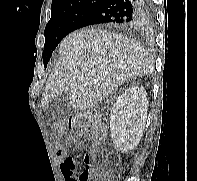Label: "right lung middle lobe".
Segmentation results:
<instances>
[{
	"label": "right lung middle lobe",
	"instance_id": "right-lung-middle-lobe-1",
	"mask_svg": "<svg viewBox=\"0 0 197 181\" xmlns=\"http://www.w3.org/2000/svg\"><path fill=\"white\" fill-rule=\"evenodd\" d=\"M96 6L97 4H84L52 13L44 31L45 45L42 57L45 67L59 42L74 31L80 20Z\"/></svg>",
	"mask_w": 197,
	"mask_h": 181
}]
</instances>
